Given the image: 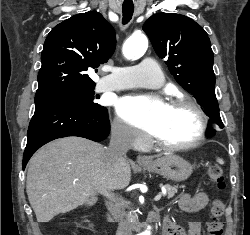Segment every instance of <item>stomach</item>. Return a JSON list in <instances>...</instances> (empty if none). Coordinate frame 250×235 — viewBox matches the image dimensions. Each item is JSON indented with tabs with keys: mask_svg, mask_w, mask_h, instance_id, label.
Returning a JSON list of instances; mask_svg holds the SVG:
<instances>
[{
	"mask_svg": "<svg viewBox=\"0 0 250 235\" xmlns=\"http://www.w3.org/2000/svg\"><path fill=\"white\" fill-rule=\"evenodd\" d=\"M145 170L175 182L185 181L192 173L191 164L175 154H166L148 164H141Z\"/></svg>",
	"mask_w": 250,
	"mask_h": 235,
	"instance_id": "obj_1",
	"label": "stomach"
}]
</instances>
